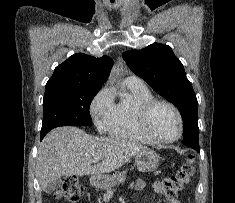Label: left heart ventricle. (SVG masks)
<instances>
[{
  "instance_id": "left-heart-ventricle-1",
  "label": "left heart ventricle",
  "mask_w": 235,
  "mask_h": 203,
  "mask_svg": "<svg viewBox=\"0 0 235 203\" xmlns=\"http://www.w3.org/2000/svg\"><path fill=\"white\" fill-rule=\"evenodd\" d=\"M149 128L155 136L170 139L178 134L179 124L173 110L164 104H159L150 113Z\"/></svg>"
}]
</instances>
